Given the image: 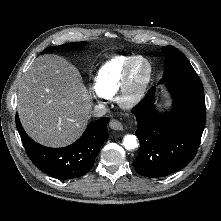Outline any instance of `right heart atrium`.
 <instances>
[{"label": "right heart atrium", "instance_id": "d8ad5b80", "mask_svg": "<svg viewBox=\"0 0 221 221\" xmlns=\"http://www.w3.org/2000/svg\"><path fill=\"white\" fill-rule=\"evenodd\" d=\"M94 96L96 97V99L98 100H103L104 97L100 96L96 91L94 92Z\"/></svg>", "mask_w": 221, "mask_h": 221}]
</instances>
